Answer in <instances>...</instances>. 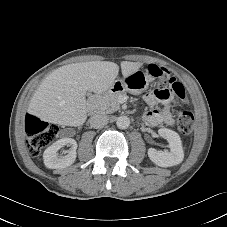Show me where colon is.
<instances>
[{
	"label": "colon",
	"instance_id": "colon-1",
	"mask_svg": "<svg viewBox=\"0 0 227 227\" xmlns=\"http://www.w3.org/2000/svg\"><path fill=\"white\" fill-rule=\"evenodd\" d=\"M149 73L157 78V91L171 90L184 103L187 102L186 93L181 83L162 67L150 65ZM177 124L181 133L190 135L194 128V116L190 111H177ZM25 129L28 134V150L32 156H37L41 150L51 144L58 136L59 128L47 123L34 115L25 118Z\"/></svg>",
	"mask_w": 227,
	"mask_h": 227
}]
</instances>
